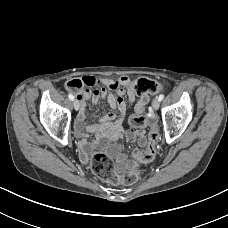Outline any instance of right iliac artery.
Masks as SVG:
<instances>
[{
  "mask_svg": "<svg viewBox=\"0 0 228 228\" xmlns=\"http://www.w3.org/2000/svg\"><path fill=\"white\" fill-rule=\"evenodd\" d=\"M70 100H74V96L72 94H68Z\"/></svg>",
  "mask_w": 228,
  "mask_h": 228,
  "instance_id": "82829eb1",
  "label": "right iliac artery"
}]
</instances>
